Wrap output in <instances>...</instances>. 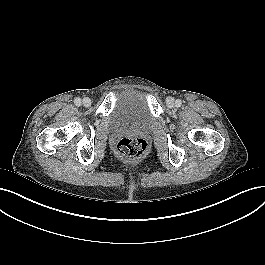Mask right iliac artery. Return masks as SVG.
Returning <instances> with one entry per match:
<instances>
[{
	"label": "right iliac artery",
	"instance_id": "obj_1",
	"mask_svg": "<svg viewBox=\"0 0 265 265\" xmlns=\"http://www.w3.org/2000/svg\"><path fill=\"white\" fill-rule=\"evenodd\" d=\"M74 103H75V105L80 106L81 105V99L75 98Z\"/></svg>",
	"mask_w": 265,
	"mask_h": 265
}]
</instances>
